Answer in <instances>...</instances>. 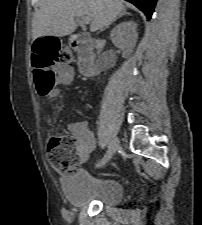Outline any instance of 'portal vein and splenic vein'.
Returning <instances> with one entry per match:
<instances>
[{"label": "portal vein and splenic vein", "mask_w": 202, "mask_h": 225, "mask_svg": "<svg viewBox=\"0 0 202 225\" xmlns=\"http://www.w3.org/2000/svg\"><path fill=\"white\" fill-rule=\"evenodd\" d=\"M81 19L84 24H89L91 22V17L89 16H82Z\"/></svg>", "instance_id": "18ae733b"}]
</instances>
